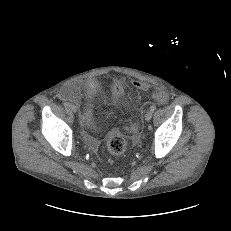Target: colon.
I'll use <instances>...</instances> for the list:
<instances>
[{"mask_svg": "<svg viewBox=\"0 0 231 231\" xmlns=\"http://www.w3.org/2000/svg\"><path fill=\"white\" fill-rule=\"evenodd\" d=\"M133 85L141 90H146L148 85L144 82L134 81ZM123 83L120 79H115L113 81V92L116 96H121L123 94ZM154 99L160 103H165L167 100V95L165 92L158 91L154 93ZM127 141L123 134L117 128H113L107 138V149L109 153L113 156H119L126 150Z\"/></svg>", "mask_w": 231, "mask_h": 231, "instance_id": "5ec220e1", "label": "colon"}]
</instances>
